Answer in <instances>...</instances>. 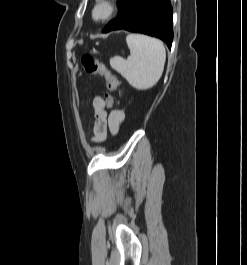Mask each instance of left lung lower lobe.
<instances>
[{
    "instance_id": "left-lung-lower-lobe-1",
    "label": "left lung lower lobe",
    "mask_w": 247,
    "mask_h": 265,
    "mask_svg": "<svg viewBox=\"0 0 247 265\" xmlns=\"http://www.w3.org/2000/svg\"><path fill=\"white\" fill-rule=\"evenodd\" d=\"M119 13L102 30L125 29L160 38L171 48L172 7L169 0H118Z\"/></svg>"
}]
</instances>
